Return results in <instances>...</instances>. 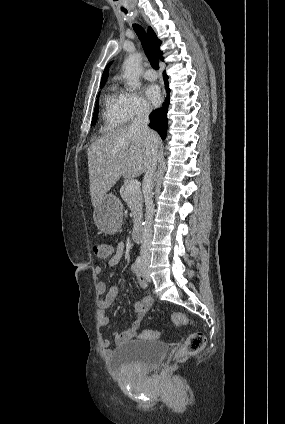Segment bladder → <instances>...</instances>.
<instances>
[{"label": "bladder", "mask_w": 285, "mask_h": 424, "mask_svg": "<svg viewBox=\"0 0 285 424\" xmlns=\"http://www.w3.org/2000/svg\"><path fill=\"white\" fill-rule=\"evenodd\" d=\"M168 350V345L163 342L134 339L116 347L109 364L116 371L150 370L160 364Z\"/></svg>", "instance_id": "bladder-1"}]
</instances>
